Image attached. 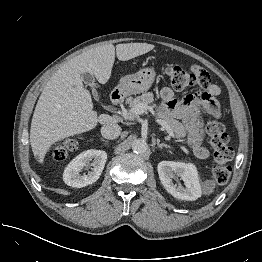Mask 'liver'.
Segmentation results:
<instances>
[{
	"instance_id": "liver-1",
	"label": "liver",
	"mask_w": 262,
	"mask_h": 262,
	"mask_svg": "<svg viewBox=\"0 0 262 262\" xmlns=\"http://www.w3.org/2000/svg\"><path fill=\"white\" fill-rule=\"evenodd\" d=\"M153 44L127 43L116 45V55L127 61L148 53ZM115 61L112 44L90 49L65 63L47 82L36 104L30 129L33 154L43 164L46 153L58 141L94 129L97 123H116L117 119L93 110L90 92L81 75L94 74L105 84L111 77Z\"/></svg>"
}]
</instances>
